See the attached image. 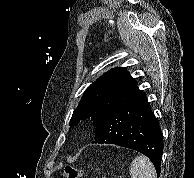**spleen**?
I'll list each match as a JSON object with an SVG mask.
<instances>
[{
    "mask_svg": "<svg viewBox=\"0 0 194 178\" xmlns=\"http://www.w3.org/2000/svg\"><path fill=\"white\" fill-rule=\"evenodd\" d=\"M130 173L132 178H157L153 164L143 155L135 157L132 161Z\"/></svg>",
    "mask_w": 194,
    "mask_h": 178,
    "instance_id": "obj_1",
    "label": "spleen"
}]
</instances>
